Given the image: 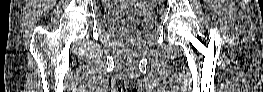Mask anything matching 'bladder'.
<instances>
[{
  "label": "bladder",
  "instance_id": "1",
  "mask_svg": "<svg viewBox=\"0 0 263 92\" xmlns=\"http://www.w3.org/2000/svg\"><path fill=\"white\" fill-rule=\"evenodd\" d=\"M103 23L120 35L141 34L153 27L155 18L148 8H117L103 14Z\"/></svg>",
  "mask_w": 263,
  "mask_h": 92
}]
</instances>
